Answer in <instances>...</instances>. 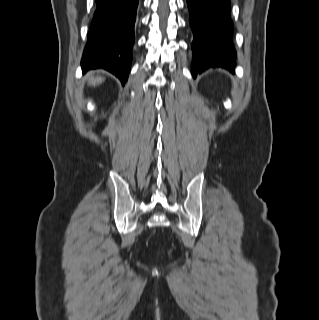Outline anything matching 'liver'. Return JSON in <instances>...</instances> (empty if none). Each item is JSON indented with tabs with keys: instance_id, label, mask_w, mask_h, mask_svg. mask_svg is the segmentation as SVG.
<instances>
[{
	"instance_id": "6515ba94",
	"label": "liver",
	"mask_w": 319,
	"mask_h": 320,
	"mask_svg": "<svg viewBox=\"0 0 319 320\" xmlns=\"http://www.w3.org/2000/svg\"><path fill=\"white\" fill-rule=\"evenodd\" d=\"M87 77H88L89 85H93V86L100 84L104 80L102 77L94 78L91 74H88Z\"/></svg>"
}]
</instances>
